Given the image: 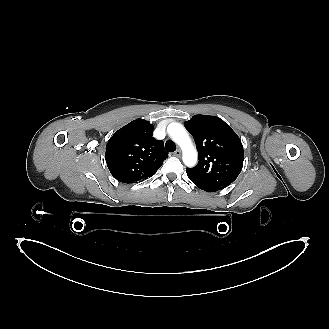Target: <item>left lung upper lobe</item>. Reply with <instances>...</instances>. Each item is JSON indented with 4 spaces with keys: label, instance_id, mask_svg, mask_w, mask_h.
<instances>
[{
    "label": "left lung upper lobe",
    "instance_id": "left-lung-upper-lobe-1",
    "mask_svg": "<svg viewBox=\"0 0 329 329\" xmlns=\"http://www.w3.org/2000/svg\"><path fill=\"white\" fill-rule=\"evenodd\" d=\"M193 135L199 162L187 168L192 179L213 190L230 185L243 167L244 152L238 135L222 119L215 116L195 115L185 122Z\"/></svg>",
    "mask_w": 329,
    "mask_h": 329
}]
</instances>
